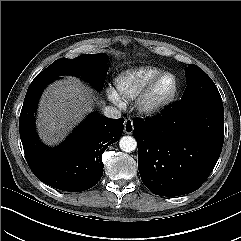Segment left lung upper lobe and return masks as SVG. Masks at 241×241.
I'll use <instances>...</instances> for the list:
<instances>
[{"label": "left lung upper lobe", "instance_id": "5c2ea615", "mask_svg": "<svg viewBox=\"0 0 241 241\" xmlns=\"http://www.w3.org/2000/svg\"><path fill=\"white\" fill-rule=\"evenodd\" d=\"M187 87L181 100L197 97L221 99L220 93L211 78L195 65H188L185 70Z\"/></svg>", "mask_w": 241, "mask_h": 241}]
</instances>
